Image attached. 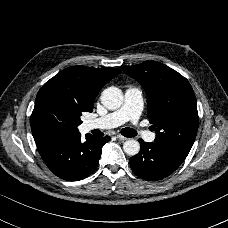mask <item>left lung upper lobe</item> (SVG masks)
<instances>
[{
  "instance_id": "obj_1",
  "label": "left lung upper lobe",
  "mask_w": 228,
  "mask_h": 228,
  "mask_svg": "<svg viewBox=\"0 0 228 228\" xmlns=\"http://www.w3.org/2000/svg\"><path fill=\"white\" fill-rule=\"evenodd\" d=\"M147 95V113L155 142L190 151L198 130L196 98L190 83L178 72L155 61L121 67Z\"/></svg>"
}]
</instances>
